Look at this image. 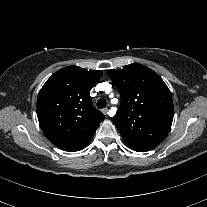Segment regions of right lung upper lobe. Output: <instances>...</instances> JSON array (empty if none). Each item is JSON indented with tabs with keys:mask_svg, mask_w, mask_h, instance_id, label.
Returning a JSON list of instances; mask_svg holds the SVG:
<instances>
[{
	"mask_svg": "<svg viewBox=\"0 0 207 207\" xmlns=\"http://www.w3.org/2000/svg\"><path fill=\"white\" fill-rule=\"evenodd\" d=\"M102 76L68 66L55 72L43 85L37 99V116L45 136L65 151L83 149L104 115L92 105L90 90Z\"/></svg>",
	"mask_w": 207,
	"mask_h": 207,
	"instance_id": "obj_1",
	"label": "right lung upper lobe"
}]
</instances>
